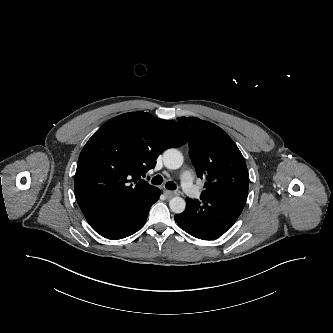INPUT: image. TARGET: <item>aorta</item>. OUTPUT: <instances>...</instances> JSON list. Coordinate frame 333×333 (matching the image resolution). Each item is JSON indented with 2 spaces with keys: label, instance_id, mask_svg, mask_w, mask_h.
I'll return each mask as SVG.
<instances>
[{
  "label": "aorta",
  "instance_id": "obj_1",
  "mask_svg": "<svg viewBox=\"0 0 333 333\" xmlns=\"http://www.w3.org/2000/svg\"><path fill=\"white\" fill-rule=\"evenodd\" d=\"M183 155L177 149H167L163 154V162L168 169H178L183 164ZM169 206L172 212L176 214L182 213L186 208V202L181 197H174L170 200Z\"/></svg>",
  "mask_w": 333,
  "mask_h": 333
}]
</instances>
